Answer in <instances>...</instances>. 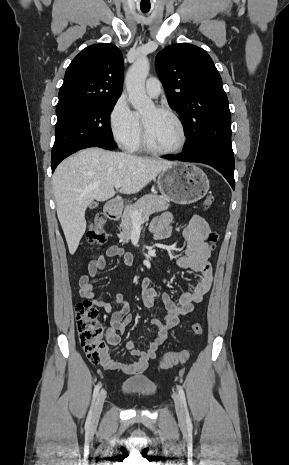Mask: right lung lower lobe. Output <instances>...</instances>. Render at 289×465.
<instances>
[{
	"label": "right lung lower lobe",
	"instance_id": "obj_1",
	"mask_svg": "<svg viewBox=\"0 0 289 465\" xmlns=\"http://www.w3.org/2000/svg\"><path fill=\"white\" fill-rule=\"evenodd\" d=\"M90 147H98L97 145H88V146H84L82 149H85V148H90ZM81 150V149H80ZM62 161V160H61ZM61 161H56V162H53L51 163V168H52V173L54 172L55 168L57 167V165L61 162Z\"/></svg>",
	"mask_w": 289,
	"mask_h": 465
}]
</instances>
